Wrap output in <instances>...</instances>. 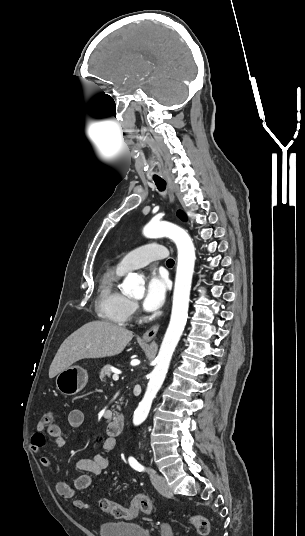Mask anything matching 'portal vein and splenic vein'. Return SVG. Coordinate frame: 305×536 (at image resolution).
Here are the masks:
<instances>
[{"label": "portal vein and splenic vein", "instance_id": "portal-vein-and-splenic-vein-1", "mask_svg": "<svg viewBox=\"0 0 305 536\" xmlns=\"http://www.w3.org/2000/svg\"><path fill=\"white\" fill-rule=\"evenodd\" d=\"M119 374H121V372H119V370H116V372H114L112 378H113V380H115V382H116V380H119Z\"/></svg>", "mask_w": 305, "mask_h": 536}]
</instances>
